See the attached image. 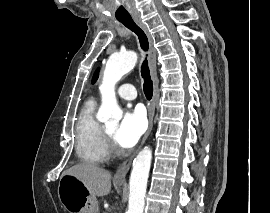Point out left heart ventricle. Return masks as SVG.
Listing matches in <instances>:
<instances>
[{"instance_id": "b2bd125f", "label": "left heart ventricle", "mask_w": 270, "mask_h": 213, "mask_svg": "<svg viewBox=\"0 0 270 213\" xmlns=\"http://www.w3.org/2000/svg\"><path fill=\"white\" fill-rule=\"evenodd\" d=\"M106 129L110 132V134L112 136H114V133H115L117 127L115 125L114 126H107Z\"/></svg>"}]
</instances>
